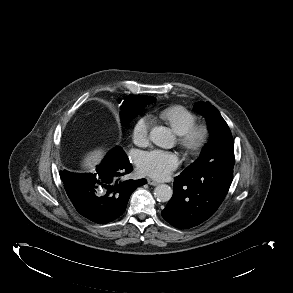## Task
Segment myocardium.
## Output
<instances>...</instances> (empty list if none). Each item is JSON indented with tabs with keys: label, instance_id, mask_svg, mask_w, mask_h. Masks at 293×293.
<instances>
[{
	"label": "myocardium",
	"instance_id": "myocardium-1",
	"mask_svg": "<svg viewBox=\"0 0 293 293\" xmlns=\"http://www.w3.org/2000/svg\"><path fill=\"white\" fill-rule=\"evenodd\" d=\"M209 128L204 124H195L184 134L179 135V144L188 153L199 152L208 142Z\"/></svg>",
	"mask_w": 293,
	"mask_h": 293
}]
</instances>
